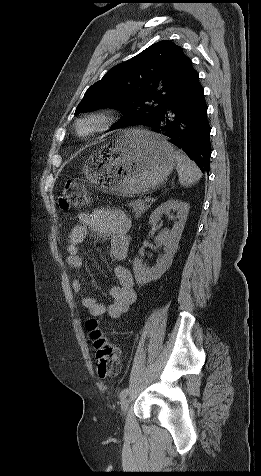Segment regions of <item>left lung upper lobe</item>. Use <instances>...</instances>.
I'll return each mask as SVG.
<instances>
[{
    "instance_id": "5c2ea615",
    "label": "left lung upper lobe",
    "mask_w": 261,
    "mask_h": 476,
    "mask_svg": "<svg viewBox=\"0 0 261 476\" xmlns=\"http://www.w3.org/2000/svg\"><path fill=\"white\" fill-rule=\"evenodd\" d=\"M195 69L180 46L157 42L132 59L112 67L86 91L75 115L99 108L120 110L110 130L143 125L155 118L186 84Z\"/></svg>"
}]
</instances>
